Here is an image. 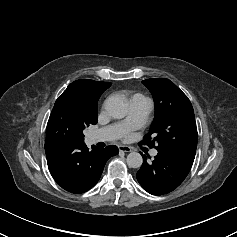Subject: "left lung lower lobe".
I'll return each instance as SVG.
<instances>
[{
    "instance_id": "0a47b994",
    "label": "left lung lower lobe",
    "mask_w": 237,
    "mask_h": 237,
    "mask_svg": "<svg viewBox=\"0 0 237 237\" xmlns=\"http://www.w3.org/2000/svg\"><path fill=\"white\" fill-rule=\"evenodd\" d=\"M143 164L137 172V180L150 194L162 195L173 191L186 178L194 158L173 153H161L152 163L142 155Z\"/></svg>"
}]
</instances>
